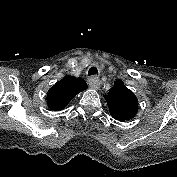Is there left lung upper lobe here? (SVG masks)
Returning a JSON list of instances; mask_svg holds the SVG:
<instances>
[{
    "label": "left lung upper lobe",
    "instance_id": "1",
    "mask_svg": "<svg viewBox=\"0 0 177 177\" xmlns=\"http://www.w3.org/2000/svg\"><path fill=\"white\" fill-rule=\"evenodd\" d=\"M104 97L114 119L124 122L135 117L138 100L121 80L115 81L113 88Z\"/></svg>",
    "mask_w": 177,
    "mask_h": 177
}]
</instances>
